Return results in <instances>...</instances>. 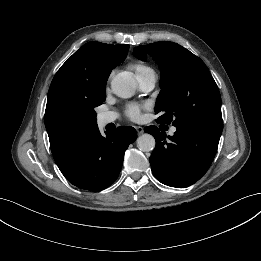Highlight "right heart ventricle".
Masks as SVG:
<instances>
[{
    "label": "right heart ventricle",
    "mask_w": 261,
    "mask_h": 261,
    "mask_svg": "<svg viewBox=\"0 0 261 261\" xmlns=\"http://www.w3.org/2000/svg\"><path fill=\"white\" fill-rule=\"evenodd\" d=\"M131 68L134 70L137 78L145 76L150 73H155L154 69L151 66L143 62H134L131 64Z\"/></svg>",
    "instance_id": "1"
}]
</instances>
